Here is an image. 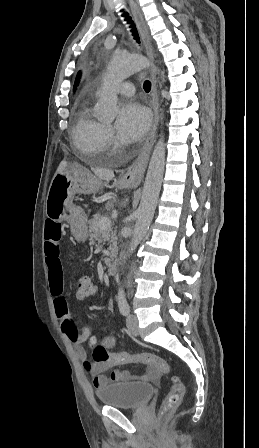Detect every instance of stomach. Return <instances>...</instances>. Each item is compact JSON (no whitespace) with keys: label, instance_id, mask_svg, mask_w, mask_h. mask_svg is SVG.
Segmentation results:
<instances>
[{"label":"stomach","instance_id":"stomach-1","mask_svg":"<svg viewBox=\"0 0 259 448\" xmlns=\"http://www.w3.org/2000/svg\"><path fill=\"white\" fill-rule=\"evenodd\" d=\"M75 178L71 168H66L63 174H54L49 186L45 214L55 222L69 221L71 232L80 242L88 238V213L82 206H66L71 204L75 194Z\"/></svg>","mask_w":259,"mask_h":448}]
</instances>
